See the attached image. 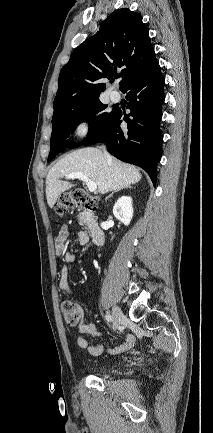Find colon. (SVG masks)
<instances>
[{"label": "colon", "instance_id": "obj_1", "mask_svg": "<svg viewBox=\"0 0 213 433\" xmlns=\"http://www.w3.org/2000/svg\"><path fill=\"white\" fill-rule=\"evenodd\" d=\"M77 207H85L95 211L97 209V199L85 190L77 188L59 197L55 205V212L57 215L63 216ZM61 312L66 323L72 327L77 326L81 321V307L74 301L66 300L62 302Z\"/></svg>", "mask_w": 213, "mask_h": 433}]
</instances>
